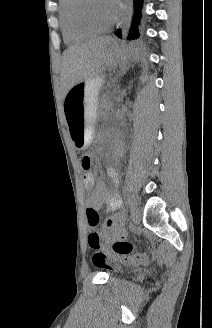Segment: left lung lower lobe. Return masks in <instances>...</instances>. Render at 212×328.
<instances>
[{"label":"left lung lower lobe","mask_w":212,"mask_h":328,"mask_svg":"<svg viewBox=\"0 0 212 328\" xmlns=\"http://www.w3.org/2000/svg\"><path fill=\"white\" fill-rule=\"evenodd\" d=\"M142 2H143V0H134L135 16H134V22H133V25H132V28H131V31H130V34H129V39H136V38L139 37L137 27L139 25V20H140V17H141L140 9H141V6H142ZM117 36L121 37L120 29L117 31Z\"/></svg>","instance_id":"left-lung-lower-lobe-1"}]
</instances>
